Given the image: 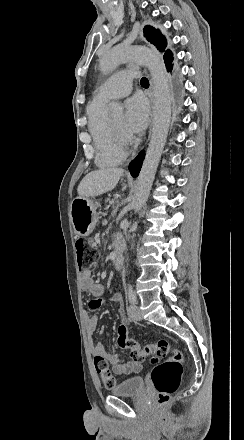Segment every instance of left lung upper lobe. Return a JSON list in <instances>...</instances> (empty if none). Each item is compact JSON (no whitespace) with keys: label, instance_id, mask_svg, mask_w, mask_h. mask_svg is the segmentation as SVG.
I'll return each mask as SVG.
<instances>
[{"label":"left lung upper lobe","instance_id":"obj_1","mask_svg":"<svg viewBox=\"0 0 244 440\" xmlns=\"http://www.w3.org/2000/svg\"><path fill=\"white\" fill-rule=\"evenodd\" d=\"M143 32H144V37H146L148 41L154 44L159 51L161 52L165 51V48L167 46V41L159 30H156L153 27L147 25L145 26ZM164 61L165 64L173 61V54L170 50L165 51Z\"/></svg>","mask_w":244,"mask_h":440}]
</instances>
